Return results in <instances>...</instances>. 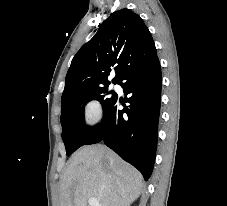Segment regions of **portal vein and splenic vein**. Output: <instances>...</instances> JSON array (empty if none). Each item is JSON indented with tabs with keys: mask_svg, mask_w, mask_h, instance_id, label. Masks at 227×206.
Instances as JSON below:
<instances>
[{
	"mask_svg": "<svg viewBox=\"0 0 227 206\" xmlns=\"http://www.w3.org/2000/svg\"><path fill=\"white\" fill-rule=\"evenodd\" d=\"M89 206H100L99 202L96 198H90L88 200Z\"/></svg>",
	"mask_w": 227,
	"mask_h": 206,
	"instance_id": "18ae733b",
	"label": "portal vein and splenic vein"
}]
</instances>
